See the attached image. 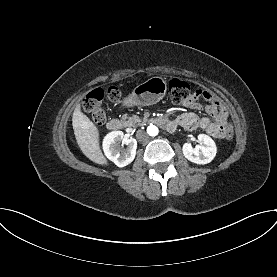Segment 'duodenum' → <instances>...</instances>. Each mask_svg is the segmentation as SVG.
I'll return each instance as SVG.
<instances>
[{
	"mask_svg": "<svg viewBox=\"0 0 277 277\" xmlns=\"http://www.w3.org/2000/svg\"><path fill=\"white\" fill-rule=\"evenodd\" d=\"M153 122L157 123L158 125L164 127L165 129H167L168 131H173L176 128V125L173 121H170L166 118H153L152 119ZM123 122L118 119V118H112L108 121L107 123V128L109 130H119L123 127Z\"/></svg>",
	"mask_w": 277,
	"mask_h": 277,
	"instance_id": "1",
	"label": "duodenum"
}]
</instances>
